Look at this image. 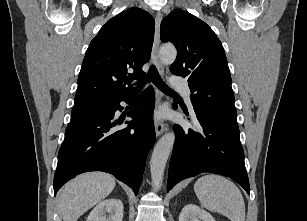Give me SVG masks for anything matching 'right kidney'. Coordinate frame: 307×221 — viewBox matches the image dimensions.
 Returning a JSON list of instances; mask_svg holds the SVG:
<instances>
[{
  "instance_id": "ca27d5eb",
  "label": "right kidney",
  "mask_w": 307,
  "mask_h": 221,
  "mask_svg": "<svg viewBox=\"0 0 307 221\" xmlns=\"http://www.w3.org/2000/svg\"><path fill=\"white\" fill-rule=\"evenodd\" d=\"M123 203L116 198L99 202L89 214L87 221H122Z\"/></svg>"
}]
</instances>
